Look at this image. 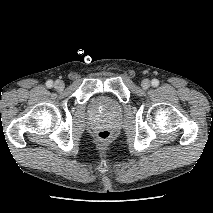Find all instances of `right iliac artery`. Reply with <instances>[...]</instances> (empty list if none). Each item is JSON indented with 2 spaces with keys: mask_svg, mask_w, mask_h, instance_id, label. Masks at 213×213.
Masks as SVG:
<instances>
[{
  "mask_svg": "<svg viewBox=\"0 0 213 213\" xmlns=\"http://www.w3.org/2000/svg\"><path fill=\"white\" fill-rule=\"evenodd\" d=\"M46 86H47L48 88H51V87L53 86V81H52V80H48V81L46 82Z\"/></svg>",
  "mask_w": 213,
  "mask_h": 213,
  "instance_id": "right-iliac-artery-1",
  "label": "right iliac artery"
}]
</instances>
